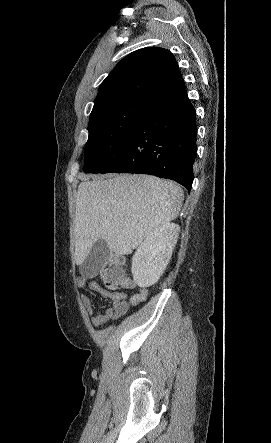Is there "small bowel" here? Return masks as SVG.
I'll list each match as a JSON object with an SVG mask.
<instances>
[{"instance_id": "obj_1", "label": "small bowel", "mask_w": 271, "mask_h": 443, "mask_svg": "<svg viewBox=\"0 0 271 443\" xmlns=\"http://www.w3.org/2000/svg\"><path fill=\"white\" fill-rule=\"evenodd\" d=\"M78 285L81 289L97 292L101 296L109 298L112 301L111 306L99 311L95 302L91 298L86 295L81 296L82 303L88 314L91 316V323L94 326H103L110 320H115L122 317L127 313L130 303L137 305L146 297V291L141 290L139 293L132 296L129 303L127 301V294L125 292H110L101 287L96 281L88 280L84 277L78 279Z\"/></svg>"}]
</instances>
